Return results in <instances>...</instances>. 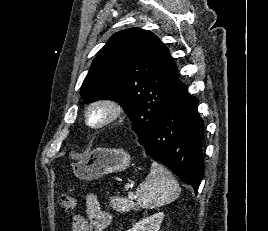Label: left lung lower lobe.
<instances>
[{
  "label": "left lung lower lobe",
  "instance_id": "1",
  "mask_svg": "<svg viewBox=\"0 0 268 231\" xmlns=\"http://www.w3.org/2000/svg\"><path fill=\"white\" fill-rule=\"evenodd\" d=\"M203 133L204 123L197 111L196 99L188 94L184 85L153 128L138 137L148 156L168 166L197 193L204 173Z\"/></svg>",
  "mask_w": 268,
  "mask_h": 231
}]
</instances>
